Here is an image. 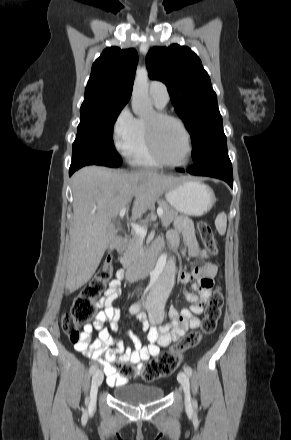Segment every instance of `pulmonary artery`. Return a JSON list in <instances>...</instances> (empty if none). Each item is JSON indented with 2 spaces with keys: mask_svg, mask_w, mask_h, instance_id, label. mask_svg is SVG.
<instances>
[{
  "mask_svg": "<svg viewBox=\"0 0 291 440\" xmlns=\"http://www.w3.org/2000/svg\"><path fill=\"white\" fill-rule=\"evenodd\" d=\"M149 92L159 106H166L169 101V93L166 85L161 81H151Z\"/></svg>",
  "mask_w": 291,
  "mask_h": 440,
  "instance_id": "obj_1",
  "label": "pulmonary artery"
}]
</instances>
